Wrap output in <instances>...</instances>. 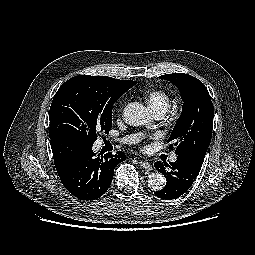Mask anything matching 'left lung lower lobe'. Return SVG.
I'll list each match as a JSON object with an SVG mask.
<instances>
[{
    "label": "left lung lower lobe",
    "instance_id": "1",
    "mask_svg": "<svg viewBox=\"0 0 255 255\" xmlns=\"http://www.w3.org/2000/svg\"><path fill=\"white\" fill-rule=\"evenodd\" d=\"M203 159L192 155H178L176 162L162 163L157 161L154 163L155 168L166 177V185L156 191L155 195L161 199H176L184 194L195 181ZM166 167L170 169L167 170Z\"/></svg>",
    "mask_w": 255,
    "mask_h": 255
}]
</instances>
